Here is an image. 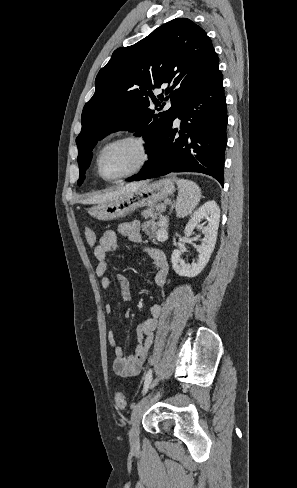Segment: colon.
Returning a JSON list of instances; mask_svg holds the SVG:
<instances>
[{
  "label": "colon",
  "instance_id": "obj_1",
  "mask_svg": "<svg viewBox=\"0 0 297 488\" xmlns=\"http://www.w3.org/2000/svg\"><path fill=\"white\" fill-rule=\"evenodd\" d=\"M85 238L88 245L94 248L97 244V236L90 227L85 228ZM115 405L119 409H124L127 405V395L124 391H117L114 395Z\"/></svg>",
  "mask_w": 297,
  "mask_h": 488
}]
</instances>
